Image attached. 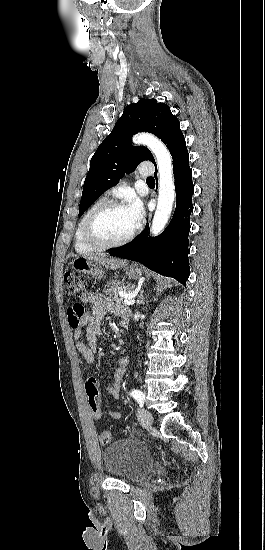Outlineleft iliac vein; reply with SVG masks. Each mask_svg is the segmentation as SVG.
Returning a JSON list of instances; mask_svg holds the SVG:
<instances>
[{
    "mask_svg": "<svg viewBox=\"0 0 265 550\" xmlns=\"http://www.w3.org/2000/svg\"><path fill=\"white\" fill-rule=\"evenodd\" d=\"M138 419L143 425L150 426L152 423L153 417L149 410L145 408H140L138 410Z\"/></svg>",
    "mask_w": 265,
    "mask_h": 550,
    "instance_id": "obj_1",
    "label": "left iliac vein"
}]
</instances>
